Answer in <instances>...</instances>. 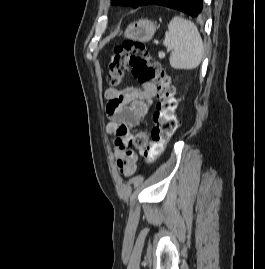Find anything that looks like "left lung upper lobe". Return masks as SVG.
Instances as JSON below:
<instances>
[{
	"instance_id": "obj_1",
	"label": "left lung upper lobe",
	"mask_w": 265,
	"mask_h": 269,
	"mask_svg": "<svg viewBox=\"0 0 265 269\" xmlns=\"http://www.w3.org/2000/svg\"><path fill=\"white\" fill-rule=\"evenodd\" d=\"M144 0H111L114 5H128L132 7H138L143 3Z\"/></svg>"
}]
</instances>
